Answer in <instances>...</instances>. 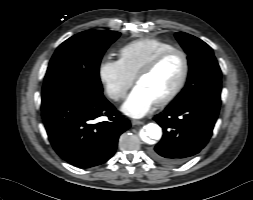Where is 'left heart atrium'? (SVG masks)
I'll return each mask as SVG.
<instances>
[{
	"instance_id": "obj_1",
	"label": "left heart atrium",
	"mask_w": 253,
	"mask_h": 200,
	"mask_svg": "<svg viewBox=\"0 0 253 200\" xmlns=\"http://www.w3.org/2000/svg\"><path fill=\"white\" fill-rule=\"evenodd\" d=\"M156 101L141 86H136L122 105V111L133 118H141L150 112Z\"/></svg>"
}]
</instances>
